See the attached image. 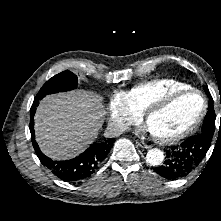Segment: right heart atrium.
I'll return each instance as SVG.
<instances>
[{
	"label": "right heart atrium",
	"instance_id": "d8ad5b80",
	"mask_svg": "<svg viewBox=\"0 0 221 221\" xmlns=\"http://www.w3.org/2000/svg\"><path fill=\"white\" fill-rule=\"evenodd\" d=\"M139 119L140 114L131 108L125 92L115 91L108 106L109 127L115 132H121L137 123Z\"/></svg>",
	"mask_w": 221,
	"mask_h": 221
}]
</instances>
